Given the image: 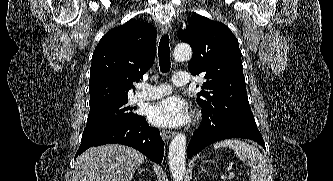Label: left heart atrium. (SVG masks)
Instances as JSON below:
<instances>
[{"label": "left heart atrium", "instance_id": "left-heart-atrium-1", "mask_svg": "<svg viewBox=\"0 0 333 181\" xmlns=\"http://www.w3.org/2000/svg\"><path fill=\"white\" fill-rule=\"evenodd\" d=\"M148 118L157 126L177 127L189 120L190 113L184 100L171 96L151 105Z\"/></svg>", "mask_w": 333, "mask_h": 181}]
</instances>
